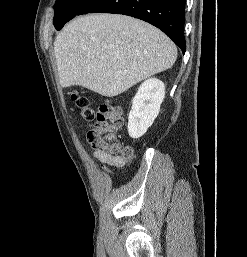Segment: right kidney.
<instances>
[{
    "mask_svg": "<svg viewBox=\"0 0 247 257\" xmlns=\"http://www.w3.org/2000/svg\"><path fill=\"white\" fill-rule=\"evenodd\" d=\"M165 97L164 83L157 78L144 81L132 100L128 116V133L133 139L143 136L153 124Z\"/></svg>",
    "mask_w": 247,
    "mask_h": 257,
    "instance_id": "right-kidney-1",
    "label": "right kidney"
}]
</instances>
